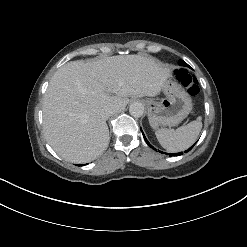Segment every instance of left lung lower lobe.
<instances>
[{
    "mask_svg": "<svg viewBox=\"0 0 247 247\" xmlns=\"http://www.w3.org/2000/svg\"><path fill=\"white\" fill-rule=\"evenodd\" d=\"M141 131H142V130H141ZM143 137H144L146 143H147L151 148H153V147L150 145V143L148 142V140L146 139V137H145L144 134H143ZM192 147H193V146H192ZM192 147H190V148H189L188 150H186L185 152L191 150ZM155 150H156V149H155ZM159 152H161V151H159ZM161 153H163V152H161ZM182 153H183V152H179V153H170L169 156H179V155H181Z\"/></svg>",
    "mask_w": 247,
    "mask_h": 247,
    "instance_id": "obj_1",
    "label": "left lung lower lobe"
}]
</instances>
